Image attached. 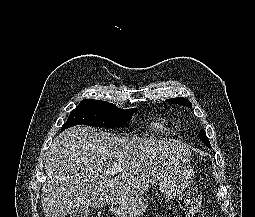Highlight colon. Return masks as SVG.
<instances>
[{
    "label": "colon",
    "mask_w": 255,
    "mask_h": 217,
    "mask_svg": "<svg viewBox=\"0 0 255 217\" xmlns=\"http://www.w3.org/2000/svg\"><path fill=\"white\" fill-rule=\"evenodd\" d=\"M202 200L200 189H188L179 200V205L184 211L183 217H203Z\"/></svg>",
    "instance_id": "1"
}]
</instances>
